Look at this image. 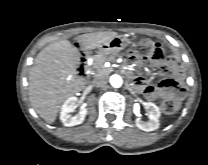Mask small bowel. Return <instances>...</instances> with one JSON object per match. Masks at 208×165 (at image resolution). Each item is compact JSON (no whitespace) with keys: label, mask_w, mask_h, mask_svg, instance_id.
<instances>
[{"label":"small bowel","mask_w":208,"mask_h":165,"mask_svg":"<svg viewBox=\"0 0 208 165\" xmlns=\"http://www.w3.org/2000/svg\"><path fill=\"white\" fill-rule=\"evenodd\" d=\"M182 66L175 57L162 58L154 70L155 87L148 86L146 80L142 77L134 79L135 84L144 92L147 98L155 100L158 98H167L174 93H182L184 84L177 78L180 77Z\"/></svg>","instance_id":"c3829d8e"}]
</instances>
